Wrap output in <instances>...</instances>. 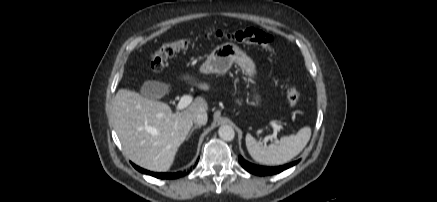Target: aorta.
I'll return each instance as SVG.
<instances>
[{
  "instance_id": "obj_1",
  "label": "aorta",
  "mask_w": 437,
  "mask_h": 202,
  "mask_svg": "<svg viewBox=\"0 0 437 202\" xmlns=\"http://www.w3.org/2000/svg\"><path fill=\"white\" fill-rule=\"evenodd\" d=\"M218 134L224 141H232L235 137L234 129L229 125H222L219 127Z\"/></svg>"
}]
</instances>
